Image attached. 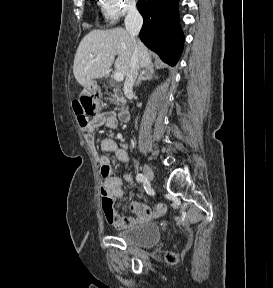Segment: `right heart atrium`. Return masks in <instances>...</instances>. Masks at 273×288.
Listing matches in <instances>:
<instances>
[{
	"instance_id": "obj_1",
	"label": "right heart atrium",
	"mask_w": 273,
	"mask_h": 288,
	"mask_svg": "<svg viewBox=\"0 0 273 288\" xmlns=\"http://www.w3.org/2000/svg\"><path fill=\"white\" fill-rule=\"evenodd\" d=\"M100 5L106 20L110 23L136 10L135 0H100Z\"/></svg>"
}]
</instances>
